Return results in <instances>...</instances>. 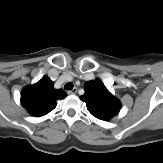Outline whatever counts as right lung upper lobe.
Masks as SVG:
<instances>
[{"label":"right lung upper lobe","mask_w":163,"mask_h":163,"mask_svg":"<svg viewBox=\"0 0 163 163\" xmlns=\"http://www.w3.org/2000/svg\"><path fill=\"white\" fill-rule=\"evenodd\" d=\"M66 96L64 90L54 89L53 81L45 76L22 90L21 104L31 115L40 117L52 111L56 107V101Z\"/></svg>","instance_id":"right-lung-upper-lobe-1"}]
</instances>
